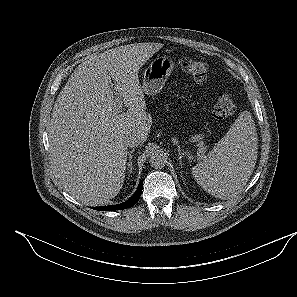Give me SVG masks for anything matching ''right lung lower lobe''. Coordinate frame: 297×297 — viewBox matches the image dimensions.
Listing matches in <instances>:
<instances>
[{
	"label": "right lung lower lobe",
	"instance_id": "1",
	"mask_svg": "<svg viewBox=\"0 0 297 297\" xmlns=\"http://www.w3.org/2000/svg\"><path fill=\"white\" fill-rule=\"evenodd\" d=\"M143 189V181H140L137 191L134 195L126 202L118 204V205H108V206H100V207H92V209L99 211H113V210H121L132 207L140 198Z\"/></svg>",
	"mask_w": 297,
	"mask_h": 297
}]
</instances>
